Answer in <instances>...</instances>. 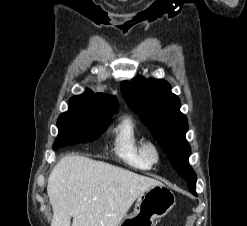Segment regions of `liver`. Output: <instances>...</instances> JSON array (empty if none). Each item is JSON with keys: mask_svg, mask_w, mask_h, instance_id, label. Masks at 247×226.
<instances>
[{"mask_svg": "<svg viewBox=\"0 0 247 226\" xmlns=\"http://www.w3.org/2000/svg\"><path fill=\"white\" fill-rule=\"evenodd\" d=\"M156 179L78 155H66L53 168L47 193L51 226H118L134 201Z\"/></svg>", "mask_w": 247, "mask_h": 226, "instance_id": "6515ba94", "label": "liver"}]
</instances>
